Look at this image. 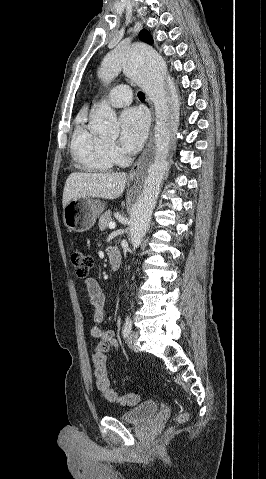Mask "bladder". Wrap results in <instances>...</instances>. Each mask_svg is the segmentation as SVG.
<instances>
[{
  "label": "bladder",
  "instance_id": "obj_1",
  "mask_svg": "<svg viewBox=\"0 0 266 479\" xmlns=\"http://www.w3.org/2000/svg\"><path fill=\"white\" fill-rule=\"evenodd\" d=\"M159 410V405L153 401H145L133 408L122 412L118 418L126 423L142 424L154 417Z\"/></svg>",
  "mask_w": 266,
  "mask_h": 479
}]
</instances>
